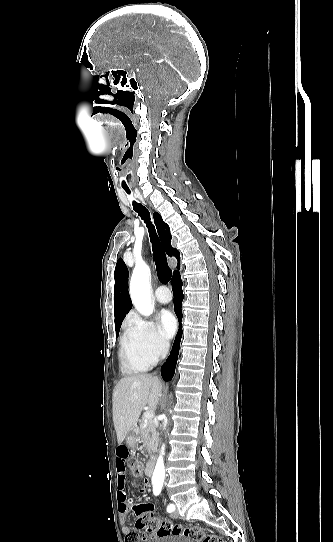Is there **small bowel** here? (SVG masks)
I'll use <instances>...</instances> for the list:
<instances>
[{"label":"small bowel","instance_id":"obj_1","mask_svg":"<svg viewBox=\"0 0 333 542\" xmlns=\"http://www.w3.org/2000/svg\"><path fill=\"white\" fill-rule=\"evenodd\" d=\"M128 457V449L125 445L121 444L117 448V461H116V472H117V509L120 515V519L122 522L125 521L127 515L129 514L131 510V506L129 503V494L127 491V485H126V459ZM149 478L147 476H144L142 478V485L147 486L148 485ZM139 494L145 493L144 487L138 488ZM122 532L126 537V542L130 534H132L133 528L129 525H123Z\"/></svg>","mask_w":333,"mask_h":542}]
</instances>
